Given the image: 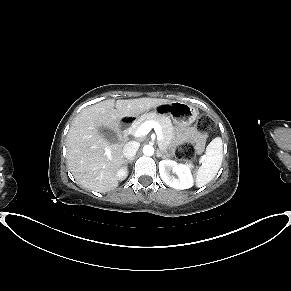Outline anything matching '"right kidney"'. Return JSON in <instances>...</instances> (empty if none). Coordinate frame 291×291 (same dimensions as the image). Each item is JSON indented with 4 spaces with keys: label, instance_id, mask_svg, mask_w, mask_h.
Listing matches in <instances>:
<instances>
[{
    "label": "right kidney",
    "instance_id": "1",
    "mask_svg": "<svg viewBox=\"0 0 291 291\" xmlns=\"http://www.w3.org/2000/svg\"><path fill=\"white\" fill-rule=\"evenodd\" d=\"M127 169L126 168H121L119 169V171L117 172V176L119 180H123L127 177Z\"/></svg>",
    "mask_w": 291,
    "mask_h": 291
}]
</instances>
